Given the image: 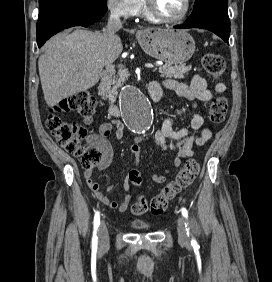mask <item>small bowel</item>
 I'll list each match as a JSON object with an SVG mask.
<instances>
[{
    "label": "small bowel",
    "instance_id": "1",
    "mask_svg": "<svg viewBox=\"0 0 272 282\" xmlns=\"http://www.w3.org/2000/svg\"><path fill=\"white\" fill-rule=\"evenodd\" d=\"M164 87L173 91L178 96L183 97L192 102H208L212 98V91L208 88L205 78L195 75L189 83H182L176 80L167 79L164 81ZM225 85L218 83L215 86V92L222 93L225 90ZM186 107L178 108L175 115H180L186 111ZM114 126L115 138L121 140L124 137L125 128L121 121H114L112 123H105L100 127L99 134H92L88 137L90 144H97L103 150V160L98 166V171L105 170L112 162L114 151L113 147L108 140L111 135V128ZM191 129H201L197 137L190 134ZM211 128L204 126V118L200 114H194L191 118L189 128H182L174 130L171 125V119H165L161 122L160 126L156 129L151 137H136L130 146V151L135 157L136 163L140 160V143L142 141H151L161 150H170L175 152L173 160V167L178 168L181 165L182 159L190 157L193 154V145L203 146L211 137ZM168 173V172H166ZM95 174L91 170L84 172V178L94 192L96 198L109 207L119 211L125 212L131 200V195L125 193L123 197L117 201L109 198L105 193L100 190L99 185L94 182ZM152 182L162 184L166 181V175H151ZM124 191L129 190V180L126 179L122 185Z\"/></svg>",
    "mask_w": 272,
    "mask_h": 282
}]
</instances>
